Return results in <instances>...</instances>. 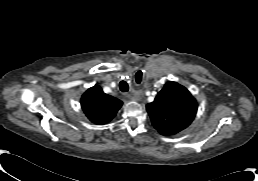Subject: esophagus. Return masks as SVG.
I'll list each match as a JSON object with an SVG mask.
<instances>
[{
  "label": "esophagus",
  "instance_id": "esophagus-1",
  "mask_svg": "<svg viewBox=\"0 0 258 181\" xmlns=\"http://www.w3.org/2000/svg\"><path fill=\"white\" fill-rule=\"evenodd\" d=\"M129 98L133 99V100H137L138 99V94L134 93V92H130L128 95H127Z\"/></svg>",
  "mask_w": 258,
  "mask_h": 181
}]
</instances>
